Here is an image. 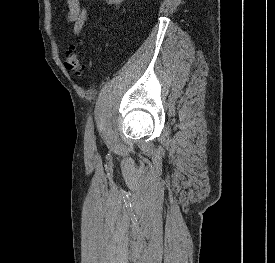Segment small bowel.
Wrapping results in <instances>:
<instances>
[{
  "instance_id": "obj_1",
  "label": "small bowel",
  "mask_w": 275,
  "mask_h": 263,
  "mask_svg": "<svg viewBox=\"0 0 275 263\" xmlns=\"http://www.w3.org/2000/svg\"><path fill=\"white\" fill-rule=\"evenodd\" d=\"M68 4V20L74 26L75 34H79L86 20L85 8L80 3V0H67Z\"/></svg>"
}]
</instances>
